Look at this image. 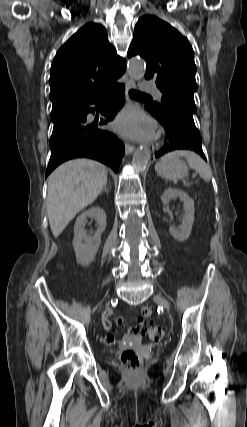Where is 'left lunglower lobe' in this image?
<instances>
[{
    "label": "left lung lower lobe",
    "instance_id": "1",
    "mask_svg": "<svg viewBox=\"0 0 247 427\" xmlns=\"http://www.w3.org/2000/svg\"><path fill=\"white\" fill-rule=\"evenodd\" d=\"M145 108L166 128L164 146L156 153V157L174 150H191L206 160L201 146V135L195 126L193 115L178 109L157 114L148 105Z\"/></svg>",
    "mask_w": 247,
    "mask_h": 427
}]
</instances>
